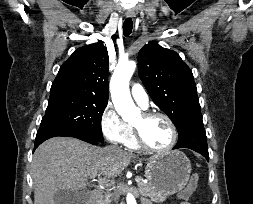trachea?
Returning <instances> with one entry per match:
<instances>
[{"label": "trachea", "mask_w": 253, "mask_h": 204, "mask_svg": "<svg viewBox=\"0 0 253 204\" xmlns=\"http://www.w3.org/2000/svg\"><path fill=\"white\" fill-rule=\"evenodd\" d=\"M133 22L132 19L129 17L124 21L123 24V34L125 37H128L132 32Z\"/></svg>", "instance_id": "3493384b"}]
</instances>
